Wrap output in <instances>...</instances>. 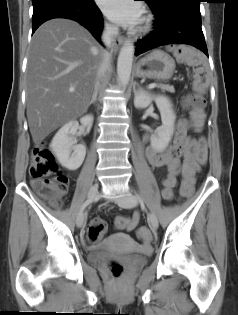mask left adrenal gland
<instances>
[{"label": "left adrenal gland", "mask_w": 238, "mask_h": 315, "mask_svg": "<svg viewBox=\"0 0 238 315\" xmlns=\"http://www.w3.org/2000/svg\"><path fill=\"white\" fill-rule=\"evenodd\" d=\"M135 85H138V83H137V82H135ZM135 85H134V87H133V91H134V93L136 94Z\"/></svg>", "instance_id": "left-adrenal-gland-1"}]
</instances>
